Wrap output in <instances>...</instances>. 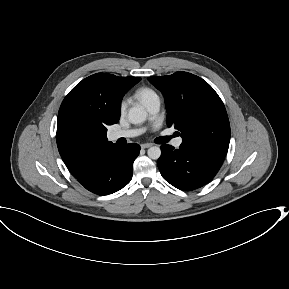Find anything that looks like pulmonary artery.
Here are the masks:
<instances>
[{"label": "pulmonary artery", "instance_id": "1", "mask_svg": "<svg viewBox=\"0 0 289 289\" xmlns=\"http://www.w3.org/2000/svg\"><path fill=\"white\" fill-rule=\"evenodd\" d=\"M147 110L151 115L152 119L158 116L160 110V101L158 98L153 99L147 106ZM142 132L141 129H125L114 131L110 134L109 138L111 140H117L120 138H131L139 135ZM182 138L178 137L173 141L174 146L179 147L182 144Z\"/></svg>", "mask_w": 289, "mask_h": 289}]
</instances>
